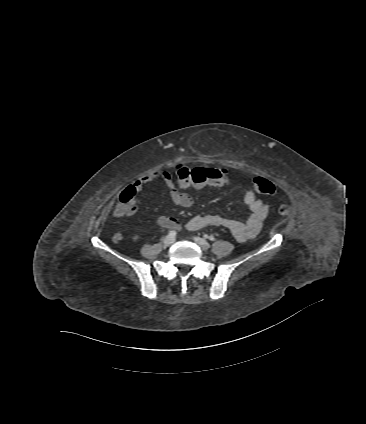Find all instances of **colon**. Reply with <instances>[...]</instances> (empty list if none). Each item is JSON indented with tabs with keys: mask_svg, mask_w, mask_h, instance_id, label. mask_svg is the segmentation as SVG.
<instances>
[{
	"mask_svg": "<svg viewBox=\"0 0 366 424\" xmlns=\"http://www.w3.org/2000/svg\"><path fill=\"white\" fill-rule=\"evenodd\" d=\"M215 168H191L179 164L175 167V175L182 186L202 188L211 185L217 180L216 178H219ZM254 188L257 192L266 195H273L277 191L274 184L261 177L254 180ZM135 192L136 190L133 188H128L122 192L119 203L115 208L116 215L125 216L135 212ZM278 211L282 215H287L290 213V206L287 203H281L278 206Z\"/></svg>",
	"mask_w": 366,
	"mask_h": 424,
	"instance_id": "5ec220e1",
	"label": "colon"
}]
</instances>
